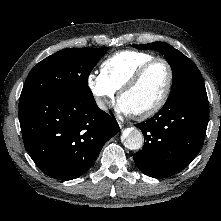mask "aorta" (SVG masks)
<instances>
[{
	"label": "aorta",
	"instance_id": "762f6f07",
	"mask_svg": "<svg viewBox=\"0 0 221 221\" xmlns=\"http://www.w3.org/2000/svg\"><path fill=\"white\" fill-rule=\"evenodd\" d=\"M123 144L129 150H139L144 143L142 132L137 128H129L123 134Z\"/></svg>",
	"mask_w": 221,
	"mask_h": 221
}]
</instances>
